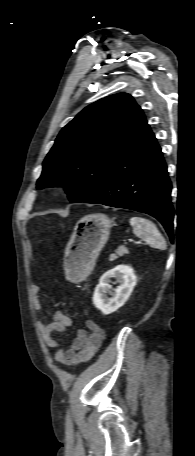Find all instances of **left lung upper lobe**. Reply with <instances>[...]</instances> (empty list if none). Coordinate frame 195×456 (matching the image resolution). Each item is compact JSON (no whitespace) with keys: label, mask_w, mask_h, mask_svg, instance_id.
<instances>
[{"label":"left lung upper lobe","mask_w":195,"mask_h":456,"mask_svg":"<svg viewBox=\"0 0 195 456\" xmlns=\"http://www.w3.org/2000/svg\"><path fill=\"white\" fill-rule=\"evenodd\" d=\"M144 121L126 93L87 106L59 133L37 188L63 186L71 202H84L103 185Z\"/></svg>","instance_id":"left-lung-upper-lobe-1"}]
</instances>
